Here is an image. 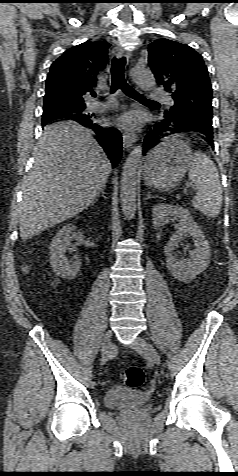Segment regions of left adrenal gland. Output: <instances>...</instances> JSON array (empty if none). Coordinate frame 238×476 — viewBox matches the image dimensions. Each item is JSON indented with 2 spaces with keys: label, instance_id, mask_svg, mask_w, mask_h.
I'll return each instance as SVG.
<instances>
[{
  "label": "left adrenal gland",
  "instance_id": "left-adrenal-gland-1",
  "mask_svg": "<svg viewBox=\"0 0 238 476\" xmlns=\"http://www.w3.org/2000/svg\"><path fill=\"white\" fill-rule=\"evenodd\" d=\"M150 198H158V196H152V195L150 194V191H148V194H147L145 200L150 199Z\"/></svg>",
  "mask_w": 238,
  "mask_h": 476
}]
</instances>
